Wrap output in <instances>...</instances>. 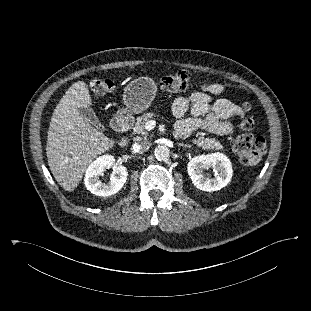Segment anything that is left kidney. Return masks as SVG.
<instances>
[{
	"label": "left kidney",
	"instance_id": "obj_1",
	"mask_svg": "<svg viewBox=\"0 0 311 311\" xmlns=\"http://www.w3.org/2000/svg\"><path fill=\"white\" fill-rule=\"evenodd\" d=\"M212 168L215 178L203 173V169ZM192 183L202 191H218L225 187L232 178L233 169L228 157L220 153L200 155L190 159L187 165Z\"/></svg>",
	"mask_w": 311,
	"mask_h": 311
}]
</instances>
